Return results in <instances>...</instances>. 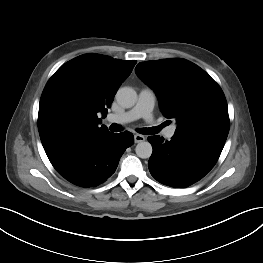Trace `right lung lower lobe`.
Masks as SVG:
<instances>
[{
    "mask_svg": "<svg viewBox=\"0 0 263 263\" xmlns=\"http://www.w3.org/2000/svg\"><path fill=\"white\" fill-rule=\"evenodd\" d=\"M133 143V134L128 131L88 132L56 143L45 152L65 179L81 187H94L115 172L122 154Z\"/></svg>",
    "mask_w": 263,
    "mask_h": 263,
    "instance_id": "98d812e1",
    "label": "right lung lower lobe"
}]
</instances>
